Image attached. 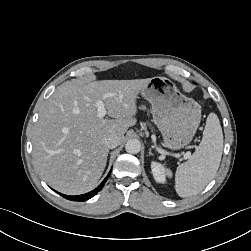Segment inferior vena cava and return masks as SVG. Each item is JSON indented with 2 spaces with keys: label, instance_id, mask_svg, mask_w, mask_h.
<instances>
[{
  "label": "inferior vena cava",
  "instance_id": "1",
  "mask_svg": "<svg viewBox=\"0 0 251 251\" xmlns=\"http://www.w3.org/2000/svg\"><path fill=\"white\" fill-rule=\"evenodd\" d=\"M120 143L119 137L116 135H109L104 139V144L109 148H116Z\"/></svg>",
  "mask_w": 251,
  "mask_h": 251
}]
</instances>
